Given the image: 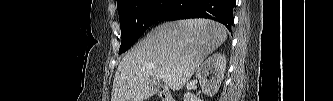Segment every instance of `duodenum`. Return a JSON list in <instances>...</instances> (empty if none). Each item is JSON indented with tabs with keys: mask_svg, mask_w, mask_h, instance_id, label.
I'll return each instance as SVG.
<instances>
[{
	"mask_svg": "<svg viewBox=\"0 0 333 101\" xmlns=\"http://www.w3.org/2000/svg\"><path fill=\"white\" fill-rule=\"evenodd\" d=\"M160 97L162 99V101H174V99L171 97V95L168 92H162L160 94Z\"/></svg>",
	"mask_w": 333,
	"mask_h": 101,
	"instance_id": "410a0bca",
	"label": "duodenum"
}]
</instances>
